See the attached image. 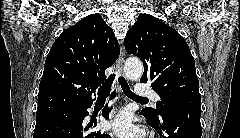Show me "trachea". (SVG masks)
<instances>
[{
    "label": "trachea",
    "instance_id": "obj_1",
    "mask_svg": "<svg viewBox=\"0 0 240 138\" xmlns=\"http://www.w3.org/2000/svg\"><path fill=\"white\" fill-rule=\"evenodd\" d=\"M114 78H115V74H111L109 76V79L106 81V83L98 89V98L101 99V98H106L109 96L110 91H111V84H112ZM118 81L122 87L124 94L127 95L129 98H131L133 100H137V101H147L148 100L147 98H141V97L137 96L136 94H134L131 91V89L124 77L119 76Z\"/></svg>",
    "mask_w": 240,
    "mask_h": 138
}]
</instances>
